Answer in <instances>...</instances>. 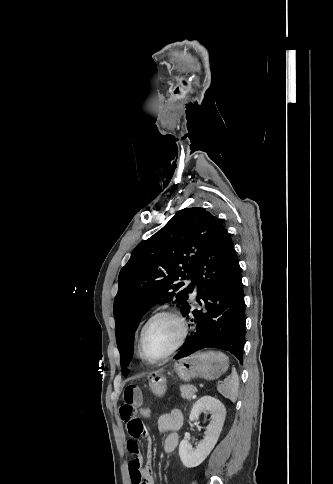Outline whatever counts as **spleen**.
Returning <instances> with one entry per match:
<instances>
[{"label":"spleen","instance_id":"spleen-1","mask_svg":"<svg viewBox=\"0 0 333 484\" xmlns=\"http://www.w3.org/2000/svg\"><path fill=\"white\" fill-rule=\"evenodd\" d=\"M238 389H239V379L235 369L232 370L231 375L227 377L223 383L217 386V390L219 391V393L223 397L232 401L233 403L236 402L237 400Z\"/></svg>","mask_w":333,"mask_h":484}]
</instances>
